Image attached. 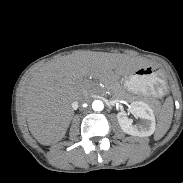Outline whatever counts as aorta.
Instances as JSON below:
<instances>
[{
	"label": "aorta",
	"instance_id": "762f6f07",
	"mask_svg": "<svg viewBox=\"0 0 183 183\" xmlns=\"http://www.w3.org/2000/svg\"><path fill=\"white\" fill-rule=\"evenodd\" d=\"M92 108L94 111H102L104 109V104L100 100H95L92 103Z\"/></svg>",
	"mask_w": 183,
	"mask_h": 183
}]
</instances>
